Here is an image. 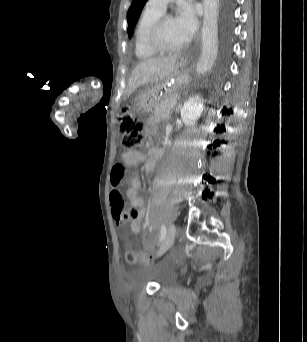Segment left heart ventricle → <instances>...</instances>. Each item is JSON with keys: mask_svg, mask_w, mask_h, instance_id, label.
Here are the masks:
<instances>
[{"mask_svg": "<svg viewBox=\"0 0 307 342\" xmlns=\"http://www.w3.org/2000/svg\"><path fill=\"white\" fill-rule=\"evenodd\" d=\"M160 43L168 50H177L185 46V42L177 31L175 20H169L163 25L160 33Z\"/></svg>", "mask_w": 307, "mask_h": 342, "instance_id": "b2bd125f", "label": "left heart ventricle"}]
</instances>
